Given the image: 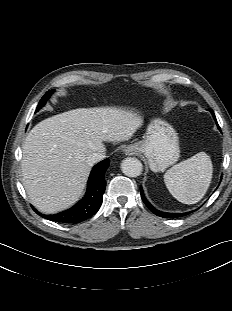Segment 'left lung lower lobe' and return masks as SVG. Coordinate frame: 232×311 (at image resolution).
Returning <instances> with one entry per match:
<instances>
[{"instance_id":"obj_1","label":"left lung lower lobe","mask_w":232,"mask_h":311,"mask_svg":"<svg viewBox=\"0 0 232 311\" xmlns=\"http://www.w3.org/2000/svg\"><path fill=\"white\" fill-rule=\"evenodd\" d=\"M208 110L211 112V114L213 115V118L215 119V121H216V123H217V120H216V117H215V114H214L213 110H212V109H208ZM217 126H218L219 130H221L220 127H219V125H218V123H217ZM140 192H141V197H142L144 203L146 204V206H147L154 214H156L157 216L164 217V218H177V217H182V216L188 214V213H164V212H160V211L156 210V209L145 199V197H144V195H143V190H142V188H140Z\"/></svg>"}]
</instances>
